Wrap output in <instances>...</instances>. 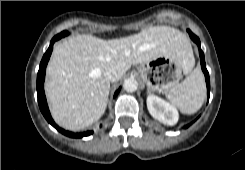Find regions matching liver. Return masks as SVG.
<instances>
[{
  "label": "liver",
  "mask_w": 245,
  "mask_h": 170,
  "mask_svg": "<svg viewBox=\"0 0 245 170\" xmlns=\"http://www.w3.org/2000/svg\"><path fill=\"white\" fill-rule=\"evenodd\" d=\"M191 47L177 29L154 26L138 34L103 40L91 35L73 36L55 45L47 66L45 92L55 122L68 130H81L105 112L110 81L104 76L114 66L121 77L132 64L163 55L177 58L185 73L194 60Z\"/></svg>",
  "instance_id": "obj_1"
}]
</instances>
